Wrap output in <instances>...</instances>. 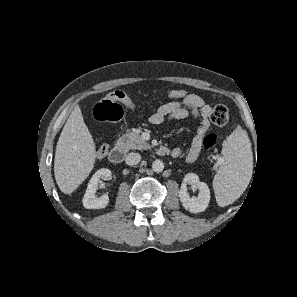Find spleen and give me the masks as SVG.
<instances>
[{
    "label": "spleen",
    "mask_w": 297,
    "mask_h": 297,
    "mask_svg": "<svg viewBox=\"0 0 297 297\" xmlns=\"http://www.w3.org/2000/svg\"><path fill=\"white\" fill-rule=\"evenodd\" d=\"M223 163L214 178L216 197L229 201L237 199L245 190L253 168L251 142L241 127L235 129L222 148Z\"/></svg>",
    "instance_id": "obj_1"
}]
</instances>
